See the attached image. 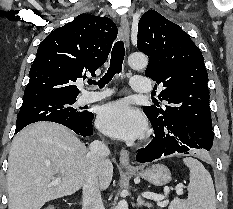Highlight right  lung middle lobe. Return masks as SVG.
<instances>
[{"mask_svg":"<svg viewBox=\"0 0 233 209\" xmlns=\"http://www.w3.org/2000/svg\"><path fill=\"white\" fill-rule=\"evenodd\" d=\"M76 98H49L22 103L17 116V126H26L38 121H51L60 124L77 123L87 112L73 108Z\"/></svg>","mask_w":233,"mask_h":209,"instance_id":"dd1d6c3e","label":"right lung middle lobe"}]
</instances>
